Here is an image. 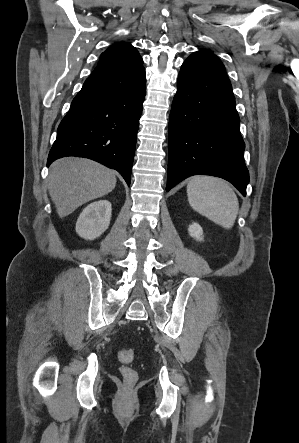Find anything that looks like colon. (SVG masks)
Segmentation results:
<instances>
[{"label": "colon", "mask_w": 299, "mask_h": 443, "mask_svg": "<svg viewBox=\"0 0 299 443\" xmlns=\"http://www.w3.org/2000/svg\"><path fill=\"white\" fill-rule=\"evenodd\" d=\"M134 351L131 348H124L119 351L118 358L122 364L121 374L128 384H133L137 380L136 371L130 366L132 361L134 360Z\"/></svg>", "instance_id": "1"}]
</instances>
